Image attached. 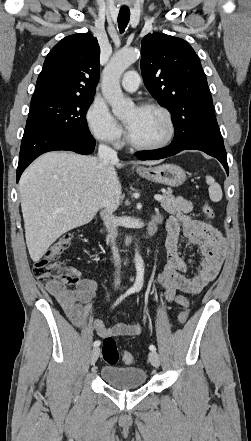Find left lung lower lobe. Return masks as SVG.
I'll use <instances>...</instances> for the list:
<instances>
[{
  "label": "left lung lower lobe",
  "mask_w": 251,
  "mask_h": 441,
  "mask_svg": "<svg viewBox=\"0 0 251 441\" xmlns=\"http://www.w3.org/2000/svg\"><path fill=\"white\" fill-rule=\"evenodd\" d=\"M200 150L217 158L228 174L227 155L215 116L200 114L175 130L171 144L165 148L140 153V160H156L173 156L183 150Z\"/></svg>",
  "instance_id": "left-lung-lower-lobe-1"
}]
</instances>
